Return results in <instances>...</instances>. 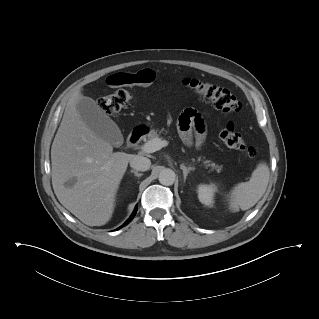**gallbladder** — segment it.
Returning a JSON list of instances; mask_svg holds the SVG:
<instances>
[{
  "label": "gallbladder",
  "mask_w": 319,
  "mask_h": 319,
  "mask_svg": "<svg viewBox=\"0 0 319 319\" xmlns=\"http://www.w3.org/2000/svg\"><path fill=\"white\" fill-rule=\"evenodd\" d=\"M76 109L87 127L96 136L118 147L123 143V136L116 123L91 98L83 96Z\"/></svg>",
  "instance_id": "obj_1"
}]
</instances>
